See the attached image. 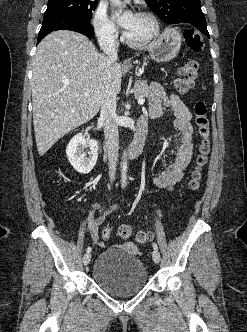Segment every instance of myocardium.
Listing matches in <instances>:
<instances>
[{
  "label": "myocardium",
  "instance_id": "1",
  "mask_svg": "<svg viewBox=\"0 0 247 332\" xmlns=\"http://www.w3.org/2000/svg\"><path fill=\"white\" fill-rule=\"evenodd\" d=\"M138 15L146 17L147 19H149L151 21L152 30L146 37H144L143 39H140V40H133L126 34V32L123 33L122 38H123L124 42L133 48H141V47L147 46L155 38H157L158 35L160 34V23H159L158 18L153 13L148 12V11H141L138 13Z\"/></svg>",
  "mask_w": 247,
  "mask_h": 332
}]
</instances>
